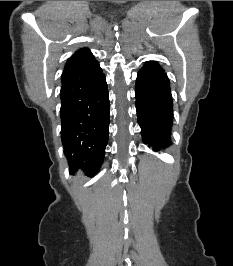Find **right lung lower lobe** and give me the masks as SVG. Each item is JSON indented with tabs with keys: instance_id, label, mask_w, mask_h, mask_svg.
<instances>
[{
	"instance_id": "right-lung-lower-lobe-1",
	"label": "right lung lower lobe",
	"mask_w": 233,
	"mask_h": 266,
	"mask_svg": "<svg viewBox=\"0 0 233 266\" xmlns=\"http://www.w3.org/2000/svg\"><path fill=\"white\" fill-rule=\"evenodd\" d=\"M61 138L70 171L97 173L108 141L110 103L107 83L92 56L62 74Z\"/></svg>"
}]
</instances>
